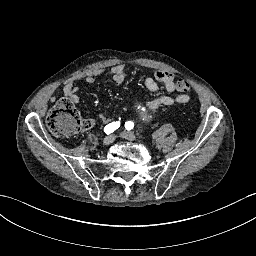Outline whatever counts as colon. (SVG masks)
<instances>
[{"instance_id":"colon-1","label":"colon","mask_w":256,"mask_h":256,"mask_svg":"<svg viewBox=\"0 0 256 256\" xmlns=\"http://www.w3.org/2000/svg\"><path fill=\"white\" fill-rule=\"evenodd\" d=\"M177 88L187 92L190 85L187 80L179 79ZM47 126L56 136L72 137L80 129H87L89 122L82 119L74 103L69 99H61L50 111Z\"/></svg>"}]
</instances>
